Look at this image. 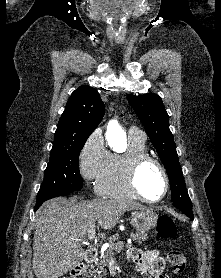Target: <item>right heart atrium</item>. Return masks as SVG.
<instances>
[{
	"mask_svg": "<svg viewBox=\"0 0 221 278\" xmlns=\"http://www.w3.org/2000/svg\"><path fill=\"white\" fill-rule=\"evenodd\" d=\"M110 153L100 130L93 131L80 149L78 169L82 178L90 183L97 182L105 172Z\"/></svg>",
	"mask_w": 221,
	"mask_h": 278,
	"instance_id": "right-heart-atrium-1",
	"label": "right heart atrium"
}]
</instances>
